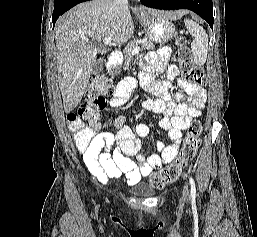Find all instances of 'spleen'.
Wrapping results in <instances>:
<instances>
[{"label": "spleen", "mask_w": 257, "mask_h": 237, "mask_svg": "<svg viewBox=\"0 0 257 237\" xmlns=\"http://www.w3.org/2000/svg\"><path fill=\"white\" fill-rule=\"evenodd\" d=\"M185 26L194 37L191 43L194 62L202 66L206 62L208 52V35L206 31L193 20L185 19Z\"/></svg>", "instance_id": "1"}]
</instances>
